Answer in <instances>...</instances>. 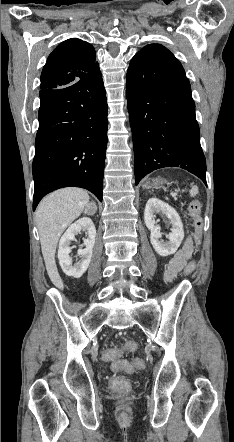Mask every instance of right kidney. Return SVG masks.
<instances>
[{"label":"right kidney","instance_id":"1","mask_svg":"<svg viewBox=\"0 0 234 442\" xmlns=\"http://www.w3.org/2000/svg\"><path fill=\"white\" fill-rule=\"evenodd\" d=\"M81 231L87 232V238L84 239L85 248L77 251L80 260L73 265L72 258L69 255L72 251L70 243L75 239V235ZM95 237L96 228L89 217H82L69 226L60 239L58 249L59 263L66 275L80 278L85 273L91 261Z\"/></svg>","mask_w":234,"mask_h":442}]
</instances>
